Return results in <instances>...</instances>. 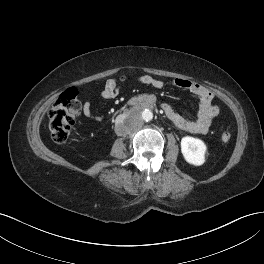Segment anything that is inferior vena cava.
<instances>
[{
  "label": "inferior vena cava",
  "instance_id": "obj_1",
  "mask_svg": "<svg viewBox=\"0 0 264 264\" xmlns=\"http://www.w3.org/2000/svg\"><path fill=\"white\" fill-rule=\"evenodd\" d=\"M124 123H126V118H125V116H123V115H118V116H116V118L114 119V124H115L116 126H118V125H120V124H124Z\"/></svg>",
  "mask_w": 264,
  "mask_h": 264
}]
</instances>
